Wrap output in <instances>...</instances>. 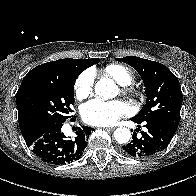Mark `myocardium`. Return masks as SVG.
<instances>
[{
  "mask_svg": "<svg viewBox=\"0 0 196 196\" xmlns=\"http://www.w3.org/2000/svg\"><path fill=\"white\" fill-rule=\"evenodd\" d=\"M122 91L124 94H131L132 93V89L127 86L123 87Z\"/></svg>",
  "mask_w": 196,
  "mask_h": 196,
  "instance_id": "1",
  "label": "myocardium"
}]
</instances>
